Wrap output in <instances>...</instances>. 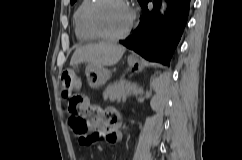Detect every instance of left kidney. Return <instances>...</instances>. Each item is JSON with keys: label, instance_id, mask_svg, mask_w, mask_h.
<instances>
[{"label": "left kidney", "instance_id": "5707ae66", "mask_svg": "<svg viewBox=\"0 0 242 160\" xmlns=\"http://www.w3.org/2000/svg\"><path fill=\"white\" fill-rule=\"evenodd\" d=\"M151 106L155 109V103H154V100H152V102H151Z\"/></svg>", "mask_w": 242, "mask_h": 160}]
</instances>
